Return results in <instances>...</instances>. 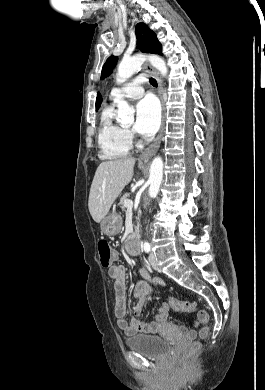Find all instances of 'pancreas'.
<instances>
[{"instance_id": "pancreas-1", "label": "pancreas", "mask_w": 265, "mask_h": 390, "mask_svg": "<svg viewBox=\"0 0 265 390\" xmlns=\"http://www.w3.org/2000/svg\"><path fill=\"white\" fill-rule=\"evenodd\" d=\"M127 199V195H123L120 199V204H121V209L124 210L125 209V206H124V201ZM129 238H131V236H129Z\"/></svg>"}]
</instances>
